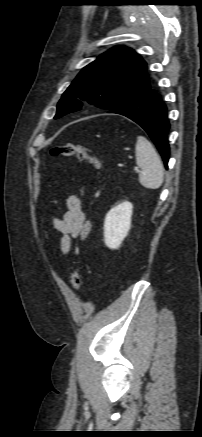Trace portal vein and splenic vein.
I'll use <instances>...</instances> for the list:
<instances>
[{"mask_svg": "<svg viewBox=\"0 0 202 437\" xmlns=\"http://www.w3.org/2000/svg\"><path fill=\"white\" fill-rule=\"evenodd\" d=\"M135 170L137 171V170H138V167H135Z\"/></svg>", "mask_w": 202, "mask_h": 437, "instance_id": "portal-vein-and-splenic-vein-1", "label": "portal vein and splenic vein"}]
</instances>
